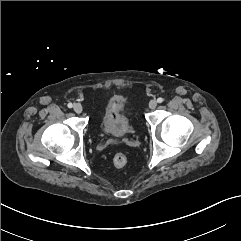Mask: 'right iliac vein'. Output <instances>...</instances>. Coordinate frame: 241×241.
<instances>
[{
    "label": "right iliac vein",
    "mask_w": 241,
    "mask_h": 241,
    "mask_svg": "<svg viewBox=\"0 0 241 241\" xmlns=\"http://www.w3.org/2000/svg\"><path fill=\"white\" fill-rule=\"evenodd\" d=\"M73 109H74V111H75L77 114H80V113L82 112V110H83L82 105L79 104V103H76V104L74 105Z\"/></svg>",
    "instance_id": "1"
}]
</instances>
